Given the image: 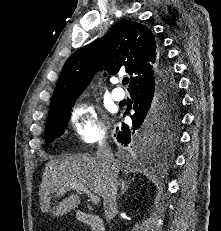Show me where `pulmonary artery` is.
<instances>
[{
    "label": "pulmonary artery",
    "instance_id": "pulmonary-artery-1",
    "mask_svg": "<svg viewBox=\"0 0 221 231\" xmlns=\"http://www.w3.org/2000/svg\"><path fill=\"white\" fill-rule=\"evenodd\" d=\"M111 96L114 100L121 101L125 98V93L120 87H117L112 90Z\"/></svg>",
    "mask_w": 221,
    "mask_h": 231
}]
</instances>
